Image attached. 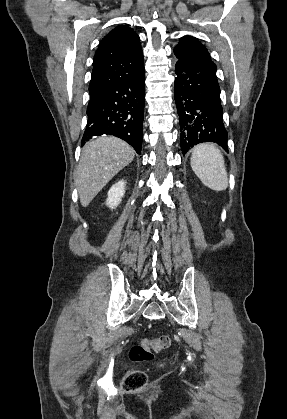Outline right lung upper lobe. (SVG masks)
<instances>
[{
    "mask_svg": "<svg viewBox=\"0 0 287 419\" xmlns=\"http://www.w3.org/2000/svg\"><path fill=\"white\" fill-rule=\"evenodd\" d=\"M139 36L120 25L100 42L93 60L89 94L136 74L144 67Z\"/></svg>",
    "mask_w": 287,
    "mask_h": 419,
    "instance_id": "obj_1",
    "label": "right lung upper lobe"
}]
</instances>
